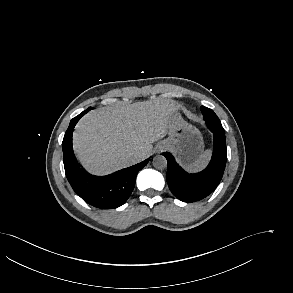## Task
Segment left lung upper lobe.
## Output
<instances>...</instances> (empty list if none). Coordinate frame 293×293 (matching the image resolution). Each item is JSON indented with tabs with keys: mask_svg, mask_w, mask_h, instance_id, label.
Listing matches in <instances>:
<instances>
[{
	"mask_svg": "<svg viewBox=\"0 0 293 293\" xmlns=\"http://www.w3.org/2000/svg\"><path fill=\"white\" fill-rule=\"evenodd\" d=\"M201 112L203 114V117H204V120L206 123H208L210 125L221 126V122L213 110H211L207 107L201 106Z\"/></svg>",
	"mask_w": 293,
	"mask_h": 293,
	"instance_id": "left-lung-upper-lobe-1",
	"label": "left lung upper lobe"
}]
</instances>
